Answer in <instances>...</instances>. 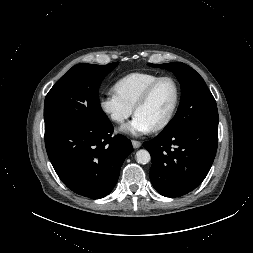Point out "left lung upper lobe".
I'll use <instances>...</instances> for the list:
<instances>
[{"label":"left lung upper lobe","instance_id":"1","mask_svg":"<svg viewBox=\"0 0 253 253\" xmlns=\"http://www.w3.org/2000/svg\"><path fill=\"white\" fill-rule=\"evenodd\" d=\"M149 65L172 71L181 84L178 111L161 135H170L190 127L218 128L215 99L203 78L194 69L181 62Z\"/></svg>","mask_w":253,"mask_h":253}]
</instances>
